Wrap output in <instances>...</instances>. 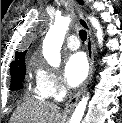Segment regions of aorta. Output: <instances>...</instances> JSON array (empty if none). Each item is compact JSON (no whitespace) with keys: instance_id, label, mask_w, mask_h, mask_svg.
<instances>
[{"instance_id":"762f6f07","label":"aorta","mask_w":122,"mask_h":123,"mask_svg":"<svg viewBox=\"0 0 122 123\" xmlns=\"http://www.w3.org/2000/svg\"><path fill=\"white\" fill-rule=\"evenodd\" d=\"M92 26L96 30V37L98 44L102 46L103 43V31L99 21L95 17H89ZM69 17H62L57 20L50 28V31L43 43V56L52 67H58L61 63L60 50L66 35V31L70 25ZM89 100V95L83 97L81 101L76 105V108L70 118V123H81L83 115L86 110V106Z\"/></svg>"}]
</instances>
